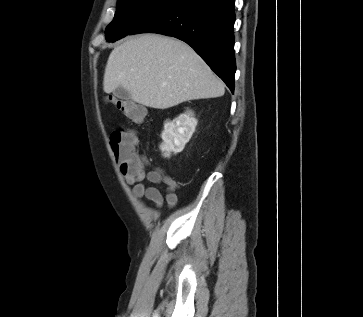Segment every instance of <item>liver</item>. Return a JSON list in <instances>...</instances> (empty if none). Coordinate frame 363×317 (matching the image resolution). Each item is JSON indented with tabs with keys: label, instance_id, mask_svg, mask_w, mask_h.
Segmentation results:
<instances>
[{
	"label": "liver",
	"instance_id": "liver-1",
	"mask_svg": "<svg viewBox=\"0 0 363 317\" xmlns=\"http://www.w3.org/2000/svg\"><path fill=\"white\" fill-rule=\"evenodd\" d=\"M117 87L135 102L156 109L225 92L223 82L189 45L159 34L130 37L112 50L103 89L109 94Z\"/></svg>",
	"mask_w": 363,
	"mask_h": 317
}]
</instances>
